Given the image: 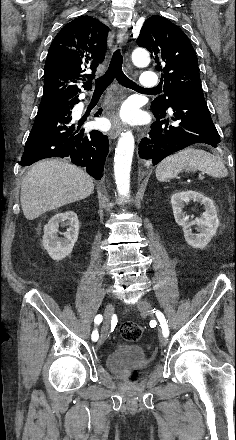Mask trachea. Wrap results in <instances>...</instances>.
<instances>
[{
	"mask_svg": "<svg viewBox=\"0 0 236 440\" xmlns=\"http://www.w3.org/2000/svg\"><path fill=\"white\" fill-rule=\"evenodd\" d=\"M123 56L119 49L114 51L108 70L104 75L95 80V91H104L114 79L124 87L134 89L137 91H145V89L138 86L131 81L122 70Z\"/></svg>",
	"mask_w": 236,
	"mask_h": 440,
	"instance_id": "1",
	"label": "trachea"
}]
</instances>
